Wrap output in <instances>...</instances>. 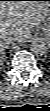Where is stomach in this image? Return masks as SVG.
<instances>
[{
	"label": "stomach",
	"instance_id": "stomach-1",
	"mask_svg": "<svg viewBox=\"0 0 50 111\" xmlns=\"http://www.w3.org/2000/svg\"><path fill=\"white\" fill-rule=\"evenodd\" d=\"M44 31H45L46 36L50 35V20L49 19L44 21Z\"/></svg>",
	"mask_w": 50,
	"mask_h": 111
}]
</instances>
